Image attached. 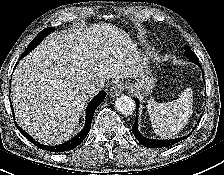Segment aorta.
Returning <instances> with one entry per match:
<instances>
[{
  "instance_id": "1",
  "label": "aorta",
  "mask_w": 224,
  "mask_h": 175,
  "mask_svg": "<svg viewBox=\"0 0 224 175\" xmlns=\"http://www.w3.org/2000/svg\"><path fill=\"white\" fill-rule=\"evenodd\" d=\"M115 106L117 111L123 115H130L135 110L134 100L126 95L118 97L115 101Z\"/></svg>"
}]
</instances>
